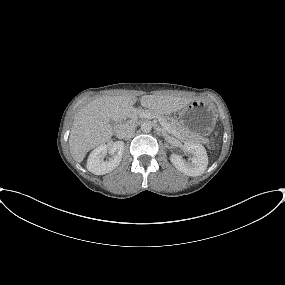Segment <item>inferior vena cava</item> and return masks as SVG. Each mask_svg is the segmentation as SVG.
Instances as JSON below:
<instances>
[{
    "instance_id": "602c4592",
    "label": "inferior vena cava",
    "mask_w": 285,
    "mask_h": 285,
    "mask_svg": "<svg viewBox=\"0 0 285 285\" xmlns=\"http://www.w3.org/2000/svg\"><path fill=\"white\" fill-rule=\"evenodd\" d=\"M134 131H135V125L132 123H126V124L121 125L116 130V136L119 139H124V138L130 136Z\"/></svg>"
}]
</instances>
